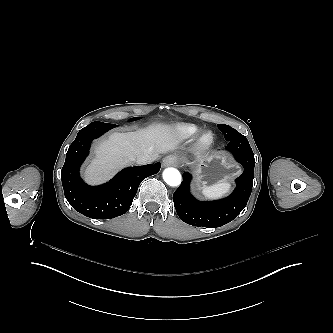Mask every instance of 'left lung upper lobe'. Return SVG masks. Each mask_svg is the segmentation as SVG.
<instances>
[{
	"label": "left lung upper lobe",
	"mask_w": 333,
	"mask_h": 333,
	"mask_svg": "<svg viewBox=\"0 0 333 333\" xmlns=\"http://www.w3.org/2000/svg\"><path fill=\"white\" fill-rule=\"evenodd\" d=\"M218 128L222 131L225 138L230 137V136L234 135V133L238 132L228 125L218 124Z\"/></svg>",
	"instance_id": "left-lung-upper-lobe-1"
}]
</instances>
